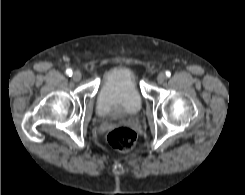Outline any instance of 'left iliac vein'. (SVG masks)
<instances>
[{
	"label": "left iliac vein",
	"mask_w": 245,
	"mask_h": 195,
	"mask_svg": "<svg viewBox=\"0 0 245 195\" xmlns=\"http://www.w3.org/2000/svg\"><path fill=\"white\" fill-rule=\"evenodd\" d=\"M166 79V76L164 73H159L158 76H157V82L159 84H162Z\"/></svg>",
	"instance_id": "4c4485c4"
}]
</instances>
